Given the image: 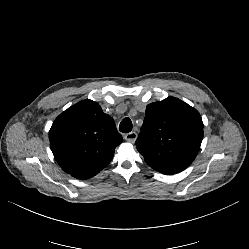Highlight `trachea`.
<instances>
[{
  "label": "trachea",
  "instance_id": "3493384b",
  "mask_svg": "<svg viewBox=\"0 0 249 249\" xmlns=\"http://www.w3.org/2000/svg\"><path fill=\"white\" fill-rule=\"evenodd\" d=\"M119 130L123 133H129L132 130V121L129 118H124L119 125Z\"/></svg>",
  "mask_w": 249,
  "mask_h": 249
}]
</instances>
